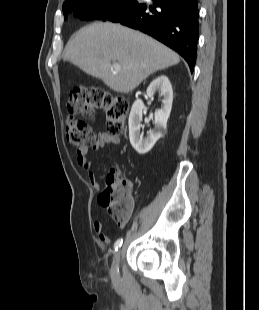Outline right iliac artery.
I'll use <instances>...</instances> for the list:
<instances>
[{
    "label": "right iliac artery",
    "mask_w": 259,
    "mask_h": 310,
    "mask_svg": "<svg viewBox=\"0 0 259 310\" xmlns=\"http://www.w3.org/2000/svg\"><path fill=\"white\" fill-rule=\"evenodd\" d=\"M122 243H123V239L119 238L114 244V250L117 251L121 247Z\"/></svg>",
    "instance_id": "1"
}]
</instances>
